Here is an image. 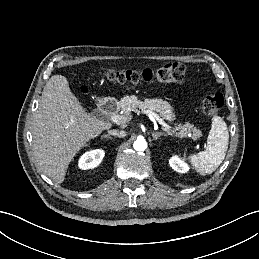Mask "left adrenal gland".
I'll return each mask as SVG.
<instances>
[{
	"mask_svg": "<svg viewBox=\"0 0 259 259\" xmlns=\"http://www.w3.org/2000/svg\"><path fill=\"white\" fill-rule=\"evenodd\" d=\"M152 136H153V139L157 140L160 136H167V134L163 133V132H152Z\"/></svg>",
	"mask_w": 259,
	"mask_h": 259,
	"instance_id": "1",
	"label": "left adrenal gland"
}]
</instances>
